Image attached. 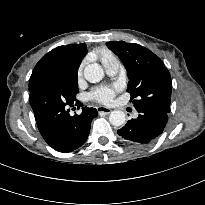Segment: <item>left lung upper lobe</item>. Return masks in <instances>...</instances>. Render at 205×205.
Segmentation results:
<instances>
[{
	"label": "left lung upper lobe",
	"mask_w": 205,
	"mask_h": 205,
	"mask_svg": "<svg viewBox=\"0 0 205 205\" xmlns=\"http://www.w3.org/2000/svg\"><path fill=\"white\" fill-rule=\"evenodd\" d=\"M123 62L129 82L134 107L170 112L172 83L168 69L162 60L147 48L124 41L106 43Z\"/></svg>",
	"instance_id": "5c2ea615"
}]
</instances>
